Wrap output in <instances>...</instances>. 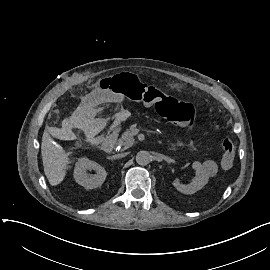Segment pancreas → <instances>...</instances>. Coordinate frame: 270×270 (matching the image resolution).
Here are the masks:
<instances>
[{"label":"pancreas","mask_w":270,"mask_h":270,"mask_svg":"<svg viewBox=\"0 0 270 270\" xmlns=\"http://www.w3.org/2000/svg\"><path fill=\"white\" fill-rule=\"evenodd\" d=\"M133 134L130 130H127L123 135L122 138L119 139V144L126 146V148L130 147L133 142Z\"/></svg>","instance_id":"obj_1"}]
</instances>
